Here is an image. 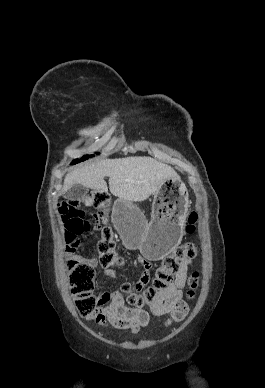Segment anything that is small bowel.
<instances>
[{"label": "small bowel", "mask_w": 265, "mask_h": 388, "mask_svg": "<svg viewBox=\"0 0 265 388\" xmlns=\"http://www.w3.org/2000/svg\"><path fill=\"white\" fill-rule=\"evenodd\" d=\"M89 205V201H85ZM92 266L98 264L96 258L85 259ZM137 262L142 267V273L135 284V290L140 291L146 288L152 278V263L142 256H138ZM192 260L181 262L175 274L174 281L166 290L158 293L156 300L150 305V311L155 316L169 315L168 324L182 321L188 313L187 304L183 301V288L187 281V275ZM104 274L115 277V272L106 268ZM99 309L104 316L101 323L111 325L118 330H129L137 333L149 324L150 315L147 311L139 308H130L125 305L124 296L120 290L104 291L98 296Z\"/></svg>", "instance_id": "obj_1"}]
</instances>
